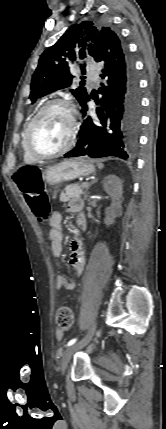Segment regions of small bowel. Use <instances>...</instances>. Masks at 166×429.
I'll list each match as a JSON object with an SVG mask.
<instances>
[{"instance_id":"small-bowel-1","label":"small bowel","mask_w":166,"mask_h":429,"mask_svg":"<svg viewBox=\"0 0 166 429\" xmlns=\"http://www.w3.org/2000/svg\"><path fill=\"white\" fill-rule=\"evenodd\" d=\"M68 211L72 214L77 215V222L81 228L86 227V220L83 214V202L79 198H73L70 200ZM62 217L59 212H53L49 220V240L51 244V252L54 258H59L62 254V230H61ZM70 265L76 277H79L86 264V256L83 250L82 241L79 238H74L70 242ZM76 286L75 280H70L64 275H58L56 277V287L65 291H72ZM58 341L63 340L64 333L58 329L55 333Z\"/></svg>"}]
</instances>
